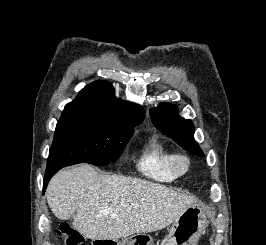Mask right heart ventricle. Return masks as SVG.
<instances>
[{"instance_id": "e07e8e85", "label": "right heart ventricle", "mask_w": 266, "mask_h": 245, "mask_svg": "<svg viewBox=\"0 0 266 245\" xmlns=\"http://www.w3.org/2000/svg\"><path fill=\"white\" fill-rule=\"evenodd\" d=\"M175 151L158 136L149 137L138 149L136 168L139 173L159 184H170L180 176L173 169Z\"/></svg>"}]
</instances>
